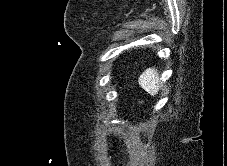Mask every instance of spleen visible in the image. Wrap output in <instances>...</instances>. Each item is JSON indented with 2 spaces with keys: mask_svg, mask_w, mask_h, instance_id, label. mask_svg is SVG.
I'll list each match as a JSON object with an SVG mask.
<instances>
[{
  "mask_svg": "<svg viewBox=\"0 0 227 166\" xmlns=\"http://www.w3.org/2000/svg\"><path fill=\"white\" fill-rule=\"evenodd\" d=\"M139 85L150 95L154 96L160 88L159 75L157 69L148 68L139 77Z\"/></svg>",
  "mask_w": 227,
  "mask_h": 166,
  "instance_id": "obj_1",
  "label": "spleen"
}]
</instances>
